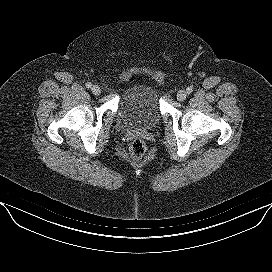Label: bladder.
I'll use <instances>...</instances> for the list:
<instances>
[{
    "label": "bladder",
    "mask_w": 272,
    "mask_h": 272,
    "mask_svg": "<svg viewBox=\"0 0 272 272\" xmlns=\"http://www.w3.org/2000/svg\"><path fill=\"white\" fill-rule=\"evenodd\" d=\"M161 119L159 90L147 81L132 83L119 104L117 120L125 129H150Z\"/></svg>",
    "instance_id": "obj_1"
}]
</instances>
